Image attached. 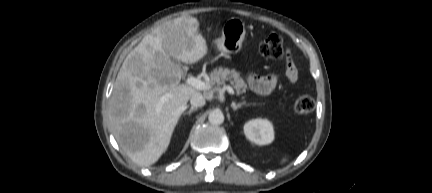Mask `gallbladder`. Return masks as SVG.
<instances>
[{
  "label": "gallbladder",
  "instance_id": "obj_1",
  "mask_svg": "<svg viewBox=\"0 0 432 193\" xmlns=\"http://www.w3.org/2000/svg\"><path fill=\"white\" fill-rule=\"evenodd\" d=\"M171 62H172L173 64H175V65L180 66V62H179L178 60L174 59V58H171Z\"/></svg>",
  "mask_w": 432,
  "mask_h": 193
}]
</instances>
